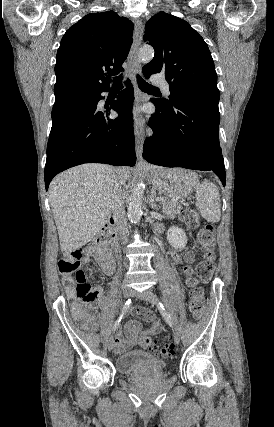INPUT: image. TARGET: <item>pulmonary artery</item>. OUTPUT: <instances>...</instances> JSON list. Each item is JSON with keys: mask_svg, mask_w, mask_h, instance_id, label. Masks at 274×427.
I'll use <instances>...</instances> for the list:
<instances>
[{"mask_svg": "<svg viewBox=\"0 0 274 427\" xmlns=\"http://www.w3.org/2000/svg\"><path fill=\"white\" fill-rule=\"evenodd\" d=\"M151 82H154L155 84L161 85L164 82V79L161 76L155 77L154 79H151ZM162 89L166 93V95H170V88L167 83H164L161 85Z\"/></svg>", "mask_w": 274, "mask_h": 427, "instance_id": "obj_1", "label": "pulmonary artery"}]
</instances>
